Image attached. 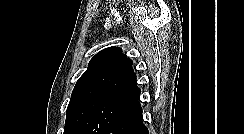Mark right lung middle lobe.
<instances>
[{"mask_svg": "<svg viewBox=\"0 0 244 134\" xmlns=\"http://www.w3.org/2000/svg\"><path fill=\"white\" fill-rule=\"evenodd\" d=\"M132 103L117 98L81 103L66 115L64 134H104Z\"/></svg>", "mask_w": 244, "mask_h": 134, "instance_id": "right-lung-middle-lobe-1", "label": "right lung middle lobe"}]
</instances>
